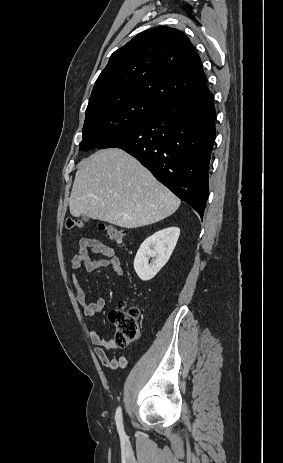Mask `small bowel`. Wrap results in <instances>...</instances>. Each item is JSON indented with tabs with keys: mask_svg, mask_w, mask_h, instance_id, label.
<instances>
[{
	"mask_svg": "<svg viewBox=\"0 0 283 463\" xmlns=\"http://www.w3.org/2000/svg\"><path fill=\"white\" fill-rule=\"evenodd\" d=\"M102 255L103 258L91 259L89 251ZM82 267L88 272H93L103 268H111L117 275H123L124 271L118 256L114 249L95 238H82L79 241V246L71 259V268L73 270L72 281L76 288V300L83 307L84 314L88 318H92L97 312L106 306V300L99 298L96 301L88 302L86 299L85 289L77 275ZM90 340L94 346V354L100 363L109 370L123 369L126 366V358L123 355L109 356L106 350L116 349L117 345L114 340L103 339L100 334L92 329L90 331Z\"/></svg>",
	"mask_w": 283,
	"mask_h": 463,
	"instance_id": "obj_1",
	"label": "small bowel"
}]
</instances>
